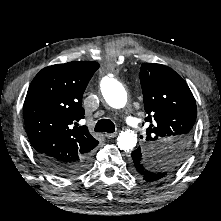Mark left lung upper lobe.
<instances>
[{
  "instance_id": "5c2ea615",
  "label": "left lung upper lobe",
  "mask_w": 221,
  "mask_h": 221,
  "mask_svg": "<svg viewBox=\"0 0 221 221\" xmlns=\"http://www.w3.org/2000/svg\"><path fill=\"white\" fill-rule=\"evenodd\" d=\"M139 78L148 114L145 121L150 124L146 130V162L158 175L155 182H159L185 159L193 141L197 107L188 85L171 68L144 63Z\"/></svg>"
}]
</instances>
